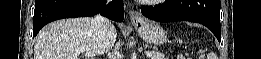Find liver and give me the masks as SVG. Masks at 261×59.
<instances>
[{
  "instance_id": "liver-1",
  "label": "liver",
  "mask_w": 261,
  "mask_h": 59,
  "mask_svg": "<svg viewBox=\"0 0 261 59\" xmlns=\"http://www.w3.org/2000/svg\"><path fill=\"white\" fill-rule=\"evenodd\" d=\"M91 21V18L63 19L45 26L36 37L34 59H94L111 49L117 38L114 25L110 24L105 41H101ZM80 48L86 49L82 56L75 53Z\"/></svg>"
}]
</instances>
